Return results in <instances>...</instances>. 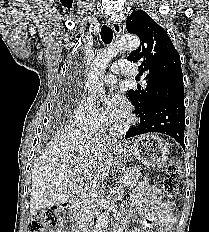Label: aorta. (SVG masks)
Instances as JSON below:
<instances>
[{
    "mask_svg": "<svg viewBox=\"0 0 209 232\" xmlns=\"http://www.w3.org/2000/svg\"><path fill=\"white\" fill-rule=\"evenodd\" d=\"M140 45L139 38L135 35L126 34L111 46V48L100 52L91 63L87 75V88L92 96L103 97V75L111 59L119 52L136 50ZM109 223V212H103L97 219L94 232H106Z\"/></svg>",
    "mask_w": 209,
    "mask_h": 232,
    "instance_id": "1",
    "label": "aorta"
}]
</instances>
